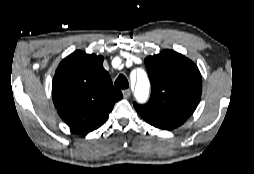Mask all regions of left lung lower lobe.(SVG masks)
<instances>
[{
	"label": "left lung lower lobe",
	"instance_id": "0a47b994",
	"mask_svg": "<svg viewBox=\"0 0 254 174\" xmlns=\"http://www.w3.org/2000/svg\"><path fill=\"white\" fill-rule=\"evenodd\" d=\"M139 115L149 124L163 130H172L184 123L183 121H176V120H171L167 118H161L151 114L139 113Z\"/></svg>",
	"mask_w": 254,
	"mask_h": 174
}]
</instances>
